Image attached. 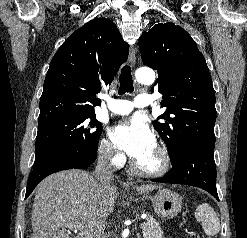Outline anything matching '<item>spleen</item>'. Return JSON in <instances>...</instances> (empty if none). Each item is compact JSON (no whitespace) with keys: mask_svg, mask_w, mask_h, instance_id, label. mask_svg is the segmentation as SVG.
Segmentation results:
<instances>
[{"mask_svg":"<svg viewBox=\"0 0 247 238\" xmlns=\"http://www.w3.org/2000/svg\"><path fill=\"white\" fill-rule=\"evenodd\" d=\"M195 218L202 224L206 235L214 236L220 231L219 218L209 204L199 205L195 211Z\"/></svg>","mask_w":247,"mask_h":238,"instance_id":"1","label":"spleen"}]
</instances>
